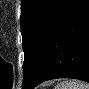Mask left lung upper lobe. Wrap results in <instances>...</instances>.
<instances>
[{
	"label": "left lung upper lobe",
	"instance_id": "1",
	"mask_svg": "<svg viewBox=\"0 0 89 89\" xmlns=\"http://www.w3.org/2000/svg\"><path fill=\"white\" fill-rule=\"evenodd\" d=\"M73 0H22L21 34L25 53L23 88L35 77L52 35Z\"/></svg>",
	"mask_w": 89,
	"mask_h": 89
}]
</instances>
